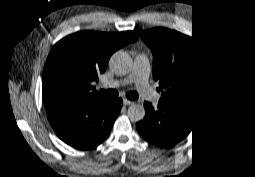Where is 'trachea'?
Here are the masks:
<instances>
[{"label":"trachea","mask_w":255,"mask_h":177,"mask_svg":"<svg viewBox=\"0 0 255 177\" xmlns=\"http://www.w3.org/2000/svg\"><path fill=\"white\" fill-rule=\"evenodd\" d=\"M108 95L109 96H116L117 95V92H115L114 90H109L108 92ZM130 94H128L127 96H129Z\"/></svg>","instance_id":"3493384b"}]
</instances>
